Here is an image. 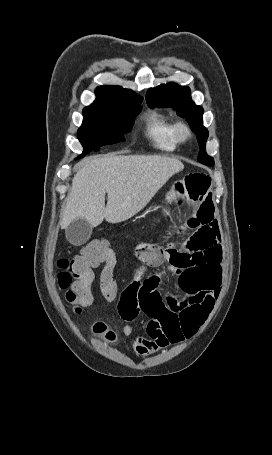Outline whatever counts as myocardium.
Returning a JSON list of instances; mask_svg holds the SVG:
<instances>
[{
	"instance_id": "myocardium-1",
	"label": "myocardium",
	"mask_w": 272,
	"mask_h": 455,
	"mask_svg": "<svg viewBox=\"0 0 272 455\" xmlns=\"http://www.w3.org/2000/svg\"><path fill=\"white\" fill-rule=\"evenodd\" d=\"M174 133L178 143H185L192 136V131L190 127L184 122L175 123Z\"/></svg>"
}]
</instances>
